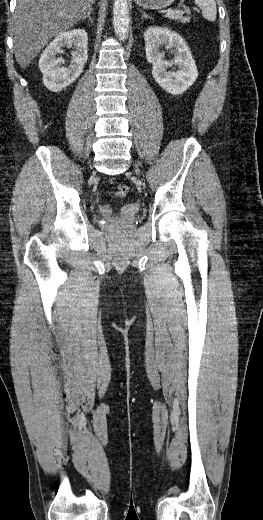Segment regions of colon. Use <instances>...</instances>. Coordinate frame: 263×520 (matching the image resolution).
I'll list each match as a JSON object with an SVG mask.
<instances>
[{
  "label": "colon",
  "instance_id": "1",
  "mask_svg": "<svg viewBox=\"0 0 263 520\" xmlns=\"http://www.w3.org/2000/svg\"><path fill=\"white\" fill-rule=\"evenodd\" d=\"M129 194V187L126 184H119L115 190L117 197L123 198Z\"/></svg>",
  "mask_w": 263,
  "mask_h": 520
}]
</instances>
